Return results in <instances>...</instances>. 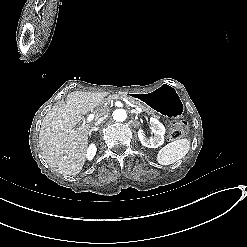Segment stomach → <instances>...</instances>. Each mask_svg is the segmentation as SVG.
Returning a JSON list of instances; mask_svg holds the SVG:
<instances>
[{"mask_svg":"<svg viewBox=\"0 0 247 247\" xmlns=\"http://www.w3.org/2000/svg\"><path fill=\"white\" fill-rule=\"evenodd\" d=\"M132 96L165 117L178 118L183 113V102L175 89L169 85L163 84L152 91Z\"/></svg>","mask_w":247,"mask_h":247,"instance_id":"1","label":"stomach"}]
</instances>
